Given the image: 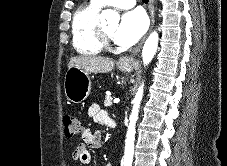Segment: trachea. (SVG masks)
Listing matches in <instances>:
<instances>
[{
    "mask_svg": "<svg viewBox=\"0 0 227 166\" xmlns=\"http://www.w3.org/2000/svg\"><path fill=\"white\" fill-rule=\"evenodd\" d=\"M144 3H148L149 0H142Z\"/></svg>",
    "mask_w": 227,
    "mask_h": 166,
    "instance_id": "obj_1",
    "label": "trachea"
}]
</instances>
